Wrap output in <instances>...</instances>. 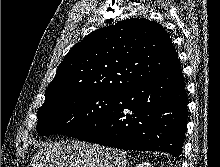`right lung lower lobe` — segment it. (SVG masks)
Instances as JSON below:
<instances>
[{
  "label": "right lung lower lobe",
  "instance_id": "1",
  "mask_svg": "<svg viewBox=\"0 0 220 167\" xmlns=\"http://www.w3.org/2000/svg\"><path fill=\"white\" fill-rule=\"evenodd\" d=\"M188 116L181 68L140 81L120 92L90 130L77 138L125 150L181 154Z\"/></svg>",
  "mask_w": 220,
  "mask_h": 167
}]
</instances>
